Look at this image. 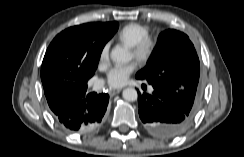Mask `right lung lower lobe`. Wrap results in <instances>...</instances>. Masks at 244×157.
<instances>
[{
  "instance_id": "right-lung-lower-lobe-1",
  "label": "right lung lower lobe",
  "mask_w": 244,
  "mask_h": 157,
  "mask_svg": "<svg viewBox=\"0 0 244 157\" xmlns=\"http://www.w3.org/2000/svg\"><path fill=\"white\" fill-rule=\"evenodd\" d=\"M87 86L81 89L66 88L46 95L55 119L65 129L87 133L102 124L109 101L108 94H86Z\"/></svg>"
}]
</instances>
